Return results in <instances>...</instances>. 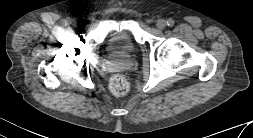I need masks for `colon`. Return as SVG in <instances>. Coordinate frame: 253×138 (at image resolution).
Listing matches in <instances>:
<instances>
[{
	"label": "colon",
	"instance_id": "5ec220e1",
	"mask_svg": "<svg viewBox=\"0 0 253 138\" xmlns=\"http://www.w3.org/2000/svg\"><path fill=\"white\" fill-rule=\"evenodd\" d=\"M109 88L112 94L122 97L125 96L129 91V82L123 75L116 74L111 77Z\"/></svg>",
	"mask_w": 253,
	"mask_h": 138
}]
</instances>
